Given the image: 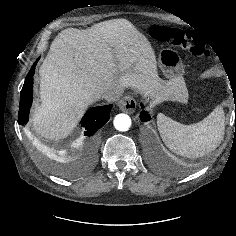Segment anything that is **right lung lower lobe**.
Masks as SVG:
<instances>
[{
  "instance_id": "98d812e1",
  "label": "right lung lower lobe",
  "mask_w": 236,
  "mask_h": 236,
  "mask_svg": "<svg viewBox=\"0 0 236 236\" xmlns=\"http://www.w3.org/2000/svg\"><path fill=\"white\" fill-rule=\"evenodd\" d=\"M37 62L33 64L26 76L21 95L18 113V121L20 125H25L29 120V111L33 100V75ZM112 104L106 106H98L90 109L82 118L81 126L84 135L81 138L82 145L85 150L92 152L95 146V133L104 126L109 120Z\"/></svg>"
}]
</instances>
